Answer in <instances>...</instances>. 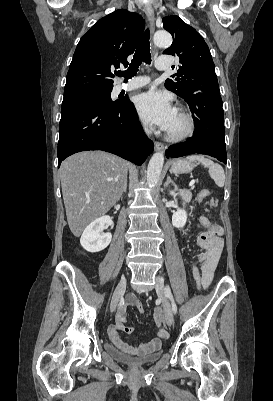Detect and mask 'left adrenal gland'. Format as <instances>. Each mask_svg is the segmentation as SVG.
<instances>
[{
	"mask_svg": "<svg viewBox=\"0 0 273 401\" xmlns=\"http://www.w3.org/2000/svg\"><path fill=\"white\" fill-rule=\"evenodd\" d=\"M169 182L173 184L174 188H177V184H175L174 180H172L171 176H167L166 182H164V186H168Z\"/></svg>",
	"mask_w": 273,
	"mask_h": 401,
	"instance_id": "left-adrenal-gland-1",
	"label": "left adrenal gland"
}]
</instances>
